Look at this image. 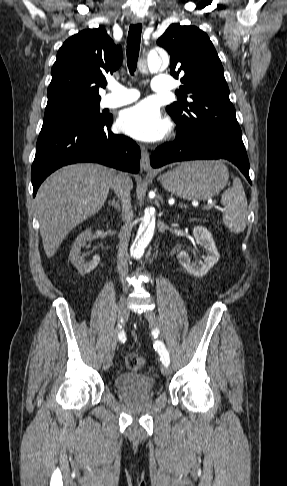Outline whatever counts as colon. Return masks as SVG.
Returning <instances> with one entry per match:
<instances>
[{
    "label": "colon",
    "mask_w": 287,
    "mask_h": 486,
    "mask_svg": "<svg viewBox=\"0 0 287 486\" xmlns=\"http://www.w3.org/2000/svg\"><path fill=\"white\" fill-rule=\"evenodd\" d=\"M124 363L127 369L136 371L143 368L145 361L139 354L129 353L125 356Z\"/></svg>",
    "instance_id": "obj_1"
}]
</instances>
